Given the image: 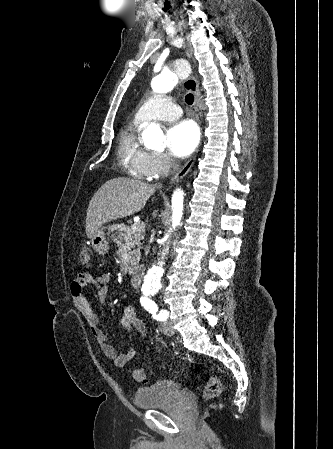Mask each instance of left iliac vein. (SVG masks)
<instances>
[{"mask_svg":"<svg viewBox=\"0 0 333 449\" xmlns=\"http://www.w3.org/2000/svg\"><path fill=\"white\" fill-rule=\"evenodd\" d=\"M160 331L167 336H172L174 334L172 325L170 324V322H167V321H165L161 324Z\"/></svg>","mask_w":333,"mask_h":449,"instance_id":"4c4485c4","label":"left iliac vein"}]
</instances>
